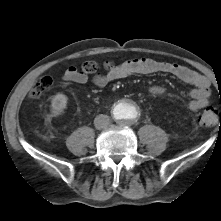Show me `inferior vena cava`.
<instances>
[{
    "label": "inferior vena cava",
    "mask_w": 221,
    "mask_h": 221,
    "mask_svg": "<svg viewBox=\"0 0 221 221\" xmlns=\"http://www.w3.org/2000/svg\"><path fill=\"white\" fill-rule=\"evenodd\" d=\"M110 124L109 116L100 114L95 117L94 119V125L96 129H105Z\"/></svg>",
    "instance_id": "602c4592"
}]
</instances>
